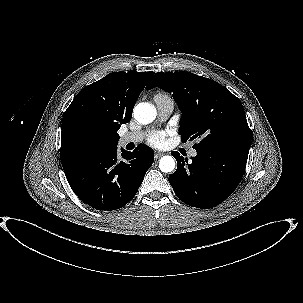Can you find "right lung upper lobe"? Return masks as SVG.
<instances>
[{"label": "right lung upper lobe", "mask_w": 303, "mask_h": 303, "mask_svg": "<svg viewBox=\"0 0 303 303\" xmlns=\"http://www.w3.org/2000/svg\"><path fill=\"white\" fill-rule=\"evenodd\" d=\"M154 72H113L84 87L64 113L60 158L66 170L116 147L121 124Z\"/></svg>", "instance_id": "right-lung-upper-lobe-1"}]
</instances>
